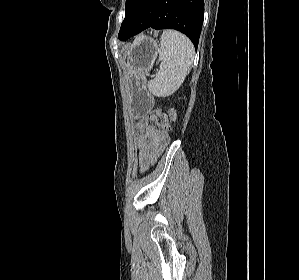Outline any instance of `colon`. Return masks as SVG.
Instances as JSON below:
<instances>
[{"label":"colon","mask_w":299,"mask_h":280,"mask_svg":"<svg viewBox=\"0 0 299 280\" xmlns=\"http://www.w3.org/2000/svg\"><path fill=\"white\" fill-rule=\"evenodd\" d=\"M150 117L162 130L170 131L171 123L174 119L173 111L166 112L161 109H156L152 112Z\"/></svg>","instance_id":"colon-1"}]
</instances>
